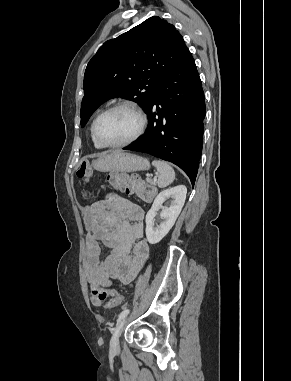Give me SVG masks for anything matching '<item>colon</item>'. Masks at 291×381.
Listing matches in <instances>:
<instances>
[{
    "label": "colon",
    "instance_id": "colon-1",
    "mask_svg": "<svg viewBox=\"0 0 291 381\" xmlns=\"http://www.w3.org/2000/svg\"><path fill=\"white\" fill-rule=\"evenodd\" d=\"M85 173L86 166L81 165L76 171V177L83 178ZM109 181L116 188L133 194L142 201H151L155 195V189L150 184L126 174H112ZM92 293L100 301H106L108 308L116 307L122 302V296L115 289L96 287Z\"/></svg>",
    "mask_w": 291,
    "mask_h": 381
}]
</instances>
